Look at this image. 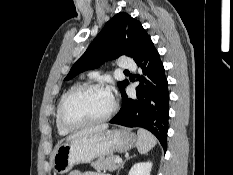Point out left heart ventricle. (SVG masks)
<instances>
[{
  "label": "left heart ventricle",
  "mask_w": 233,
  "mask_h": 175,
  "mask_svg": "<svg viewBox=\"0 0 233 175\" xmlns=\"http://www.w3.org/2000/svg\"><path fill=\"white\" fill-rule=\"evenodd\" d=\"M112 104L106 90H86L75 95L65 107V117L72 123L94 120L105 115Z\"/></svg>",
  "instance_id": "b2bd125f"
}]
</instances>
